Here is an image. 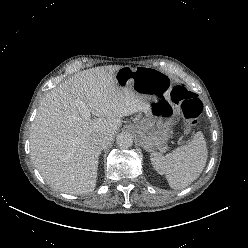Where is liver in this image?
Masks as SVG:
<instances>
[{"instance_id": "6515ba94", "label": "liver", "mask_w": 248, "mask_h": 248, "mask_svg": "<svg viewBox=\"0 0 248 248\" xmlns=\"http://www.w3.org/2000/svg\"><path fill=\"white\" fill-rule=\"evenodd\" d=\"M121 67L81 71L40 102L30 130V154L53 188L77 195L92 192L101 153L94 138L106 134L111 143L122 117L149 112L148 99L116 83L115 73ZM84 106L89 117L83 115Z\"/></svg>"}]
</instances>
